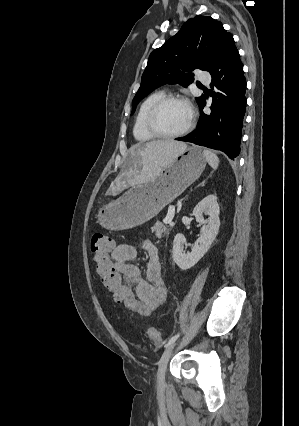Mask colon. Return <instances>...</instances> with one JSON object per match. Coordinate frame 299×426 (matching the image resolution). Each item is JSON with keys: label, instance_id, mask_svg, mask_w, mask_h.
Listing matches in <instances>:
<instances>
[{"label": "colon", "instance_id": "5ec220e1", "mask_svg": "<svg viewBox=\"0 0 299 426\" xmlns=\"http://www.w3.org/2000/svg\"><path fill=\"white\" fill-rule=\"evenodd\" d=\"M114 249L113 239L106 233L97 232L91 238V252L102 285L112 294L115 301L122 303L124 298L122 279L111 261ZM148 337L156 344L161 343V332L155 327L147 330Z\"/></svg>", "mask_w": 299, "mask_h": 426}]
</instances>
